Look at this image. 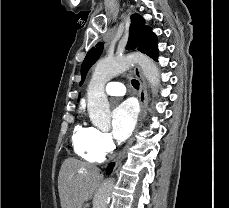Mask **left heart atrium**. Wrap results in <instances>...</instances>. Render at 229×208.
Masks as SVG:
<instances>
[{"instance_id":"1","label":"left heart atrium","mask_w":229,"mask_h":208,"mask_svg":"<svg viewBox=\"0 0 229 208\" xmlns=\"http://www.w3.org/2000/svg\"><path fill=\"white\" fill-rule=\"evenodd\" d=\"M137 111L130 101H124L118 105L112 115L113 135L119 141H123L132 132L136 123Z\"/></svg>"}]
</instances>
